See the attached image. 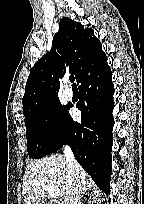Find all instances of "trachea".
I'll return each instance as SVG.
<instances>
[{"instance_id":"3493384b","label":"trachea","mask_w":144,"mask_h":204,"mask_svg":"<svg viewBox=\"0 0 144 204\" xmlns=\"http://www.w3.org/2000/svg\"><path fill=\"white\" fill-rule=\"evenodd\" d=\"M69 80H70V82L72 83V87H73V88L76 87V84L74 83V81H75L74 75H71V76L69 77Z\"/></svg>"}]
</instances>
